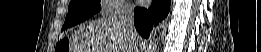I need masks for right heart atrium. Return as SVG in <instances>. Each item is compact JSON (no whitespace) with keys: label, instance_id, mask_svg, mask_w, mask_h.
<instances>
[{"label":"right heart atrium","instance_id":"1","mask_svg":"<svg viewBox=\"0 0 261 52\" xmlns=\"http://www.w3.org/2000/svg\"><path fill=\"white\" fill-rule=\"evenodd\" d=\"M102 5L103 13L106 16H120L129 9V5L125 0H104Z\"/></svg>","mask_w":261,"mask_h":52}]
</instances>
